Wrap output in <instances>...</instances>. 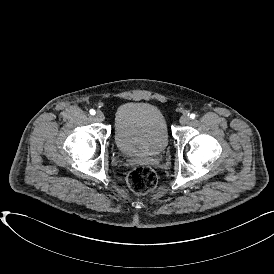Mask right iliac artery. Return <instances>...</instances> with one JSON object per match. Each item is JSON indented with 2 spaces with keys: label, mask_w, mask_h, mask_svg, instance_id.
Here are the masks:
<instances>
[{
  "label": "right iliac artery",
  "mask_w": 274,
  "mask_h": 274,
  "mask_svg": "<svg viewBox=\"0 0 274 274\" xmlns=\"http://www.w3.org/2000/svg\"><path fill=\"white\" fill-rule=\"evenodd\" d=\"M89 112L91 115H95V113H96L94 109H91Z\"/></svg>",
  "instance_id": "1"
}]
</instances>
